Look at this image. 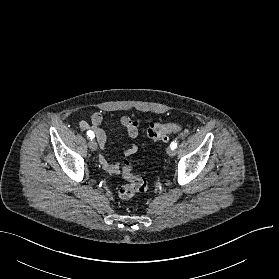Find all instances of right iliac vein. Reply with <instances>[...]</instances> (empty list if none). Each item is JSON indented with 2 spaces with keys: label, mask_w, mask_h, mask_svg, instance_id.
<instances>
[{
  "label": "right iliac vein",
  "mask_w": 279,
  "mask_h": 279,
  "mask_svg": "<svg viewBox=\"0 0 279 279\" xmlns=\"http://www.w3.org/2000/svg\"><path fill=\"white\" fill-rule=\"evenodd\" d=\"M89 145V148L92 150V151H96L97 148H98V145H97V142L94 140V139H91L88 143Z\"/></svg>",
  "instance_id": "obj_1"
}]
</instances>
